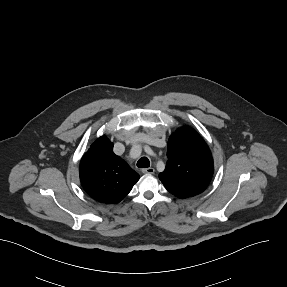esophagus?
Instances as JSON below:
<instances>
[{
    "label": "esophagus",
    "instance_id": "34e87169",
    "mask_svg": "<svg viewBox=\"0 0 287 287\" xmlns=\"http://www.w3.org/2000/svg\"><path fill=\"white\" fill-rule=\"evenodd\" d=\"M154 172H155V170L152 167L142 169V173H144V174H153Z\"/></svg>",
    "mask_w": 287,
    "mask_h": 287
}]
</instances>
